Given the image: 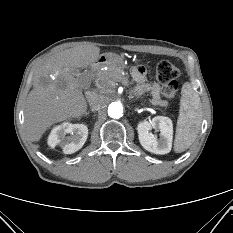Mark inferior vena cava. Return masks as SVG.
<instances>
[{
  "mask_svg": "<svg viewBox=\"0 0 233 233\" xmlns=\"http://www.w3.org/2000/svg\"><path fill=\"white\" fill-rule=\"evenodd\" d=\"M86 98L91 106H95L99 101L100 95L96 92L88 91L86 93Z\"/></svg>",
  "mask_w": 233,
  "mask_h": 233,
  "instance_id": "inferior-vena-cava-1",
  "label": "inferior vena cava"
}]
</instances>
